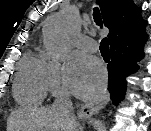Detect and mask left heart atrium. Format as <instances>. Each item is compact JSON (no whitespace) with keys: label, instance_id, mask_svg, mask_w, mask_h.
I'll return each mask as SVG.
<instances>
[{"label":"left heart atrium","instance_id":"obj_1","mask_svg":"<svg viewBox=\"0 0 151 131\" xmlns=\"http://www.w3.org/2000/svg\"><path fill=\"white\" fill-rule=\"evenodd\" d=\"M106 73L103 66L85 54H76L69 69V84L73 94L88 100L97 97L104 89Z\"/></svg>","mask_w":151,"mask_h":131}]
</instances>
